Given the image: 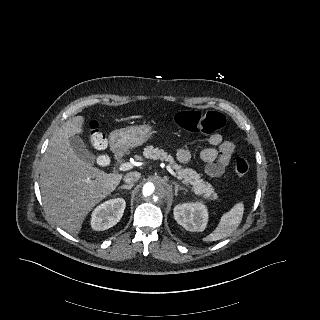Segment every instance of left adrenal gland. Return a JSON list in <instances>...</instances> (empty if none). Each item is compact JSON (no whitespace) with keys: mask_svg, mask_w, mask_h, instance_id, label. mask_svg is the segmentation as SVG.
Segmentation results:
<instances>
[{"mask_svg":"<svg viewBox=\"0 0 320 320\" xmlns=\"http://www.w3.org/2000/svg\"><path fill=\"white\" fill-rule=\"evenodd\" d=\"M175 194L178 195V191H187L185 188L180 187L177 183L174 182Z\"/></svg>","mask_w":320,"mask_h":320,"instance_id":"a2214340","label":"left adrenal gland"}]
</instances>
